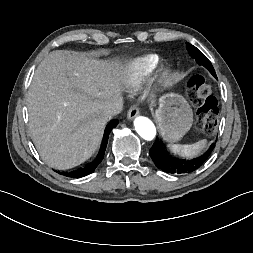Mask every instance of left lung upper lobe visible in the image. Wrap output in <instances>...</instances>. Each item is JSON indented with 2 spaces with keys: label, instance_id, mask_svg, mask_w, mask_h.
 <instances>
[{
  "label": "left lung upper lobe",
  "instance_id": "left-lung-upper-lobe-1",
  "mask_svg": "<svg viewBox=\"0 0 253 253\" xmlns=\"http://www.w3.org/2000/svg\"><path fill=\"white\" fill-rule=\"evenodd\" d=\"M186 46H187V50L189 51V54L195 58V59H207L204 54L198 50L196 47H194L193 45L189 44V43H186Z\"/></svg>",
  "mask_w": 253,
  "mask_h": 253
}]
</instances>
